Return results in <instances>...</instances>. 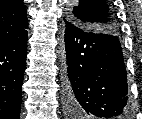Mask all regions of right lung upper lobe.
I'll list each match as a JSON object with an SVG mask.
<instances>
[{"instance_id": "obj_1", "label": "right lung upper lobe", "mask_w": 142, "mask_h": 119, "mask_svg": "<svg viewBox=\"0 0 142 119\" xmlns=\"http://www.w3.org/2000/svg\"><path fill=\"white\" fill-rule=\"evenodd\" d=\"M23 0H0V43L13 40L27 31Z\"/></svg>"}]
</instances>
